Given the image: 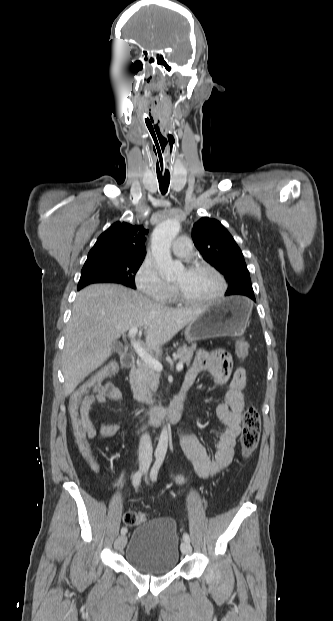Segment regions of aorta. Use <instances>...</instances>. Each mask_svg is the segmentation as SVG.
<instances>
[{"mask_svg":"<svg viewBox=\"0 0 333 621\" xmlns=\"http://www.w3.org/2000/svg\"><path fill=\"white\" fill-rule=\"evenodd\" d=\"M180 229L181 225L178 220L167 219L157 225L152 233V254L158 265L160 275L165 278H174L181 274L184 270L182 263L179 261H173L170 253L171 243L179 233ZM168 439V426H164L161 430L155 452L157 456L164 457L166 455Z\"/></svg>","mask_w":333,"mask_h":621,"instance_id":"obj_1","label":"aorta"}]
</instances>
